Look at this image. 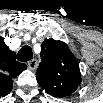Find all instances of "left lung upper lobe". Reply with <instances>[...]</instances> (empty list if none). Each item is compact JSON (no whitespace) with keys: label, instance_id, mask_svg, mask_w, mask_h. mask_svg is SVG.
<instances>
[{"label":"left lung upper lobe","instance_id":"5c2ea615","mask_svg":"<svg viewBox=\"0 0 103 103\" xmlns=\"http://www.w3.org/2000/svg\"><path fill=\"white\" fill-rule=\"evenodd\" d=\"M42 62L37 70V82L46 93L66 97L73 93L82 79L78 62L67 44L45 40L41 48Z\"/></svg>","mask_w":103,"mask_h":103}]
</instances>
